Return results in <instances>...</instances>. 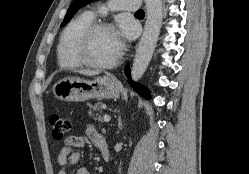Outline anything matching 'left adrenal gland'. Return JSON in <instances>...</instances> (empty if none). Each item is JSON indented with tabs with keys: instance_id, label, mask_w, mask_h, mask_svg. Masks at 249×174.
I'll list each match as a JSON object with an SVG mask.
<instances>
[{
	"instance_id": "left-adrenal-gland-1",
	"label": "left adrenal gland",
	"mask_w": 249,
	"mask_h": 174,
	"mask_svg": "<svg viewBox=\"0 0 249 174\" xmlns=\"http://www.w3.org/2000/svg\"><path fill=\"white\" fill-rule=\"evenodd\" d=\"M118 126H119V129H120V130L123 129L121 117L118 118Z\"/></svg>"
}]
</instances>
